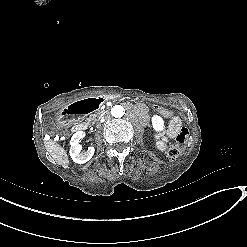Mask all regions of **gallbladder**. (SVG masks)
Returning <instances> with one entry per match:
<instances>
[{
    "label": "gallbladder",
    "instance_id": "bac80fb5",
    "mask_svg": "<svg viewBox=\"0 0 247 247\" xmlns=\"http://www.w3.org/2000/svg\"><path fill=\"white\" fill-rule=\"evenodd\" d=\"M44 124L46 126H49L47 128V133L51 136L56 135V130H57V125L56 123L53 121V118L51 116H46L44 118Z\"/></svg>",
    "mask_w": 247,
    "mask_h": 247
}]
</instances>
